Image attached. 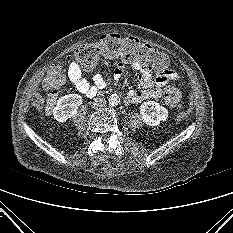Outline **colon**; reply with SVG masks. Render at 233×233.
Returning <instances> with one entry per match:
<instances>
[{
  "label": "colon",
  "instance_id": "colon-1",
  "mask_svg": "<svg viewBox=\"0 0 233 233\" xmlns=\"http://www.w3.org/2000/svg\"><path fill=\"white\" fill-rule=\"evenodd\" d=\"M101 55L110 58H121L126 63H149L157 70L167 72L170 70L169 57L149 44L140 42L135 38H122L117 34L103 35L96 44H87L78 48L74 59L84 69H92ZM64 82V74L59 65L53 66L45 80L44 88L48 91L45 102L46 111H51L56 103L57 92ZM165 103L174 108H181V92L176 87H168L164 92Z\"/></svg>",
  "mask_w": 233,
  "mask_h": 233
}]
</instances>
